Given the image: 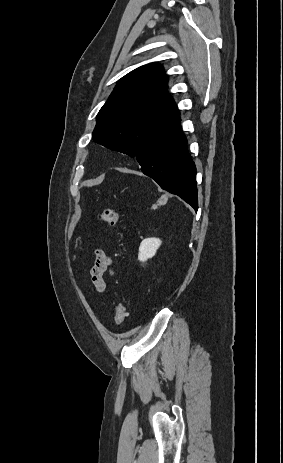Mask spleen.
<instances>
[{
	"instance_id": "3e777b00",
	"label": "spleen",
	"mask_w": 283,
	"mask_h": 463,
	"mask_svg": "<svg viewBox=\"0 0 283 463\" xmlns=\"http://www.w3.org/2000/svg\"><path fill=\"white\" fill-rule=\"evenodd\" d=\"M167 201V195H163L160 199H159V204H163Z\"/></svg>"
}]
</instances>
